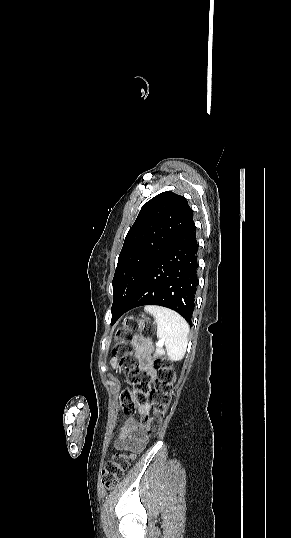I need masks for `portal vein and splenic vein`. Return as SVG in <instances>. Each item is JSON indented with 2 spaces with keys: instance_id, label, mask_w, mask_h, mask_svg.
Here are the masks:
<instances>
[{
  "instance_id": "obj_1",
  "label": "portal vein and splenic vein",
  "mask_w": 291,
  "mask_h": 538,
  "mask_svg": "<svg viewBox=\"0 0 291 538\" xmlns=\"http://www.w3.org/2000/svg\"><path fill=\"white\" fill-rule=\"evenodd\" d=\"M158 345H163V342L159 341V342H158Z\"/></svg>"
}]
</instances>
